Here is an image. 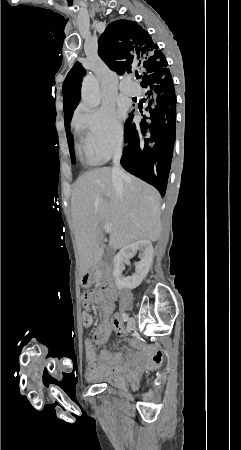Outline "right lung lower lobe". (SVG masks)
<instances>
[{"mask_svg": "<svg viewBox=\"0 0 241 450\" xmlns=\"http://www.w3.org/2000/svg\"><path fill=\"white\" fill-rule=\"evenodd\" d=\"M141 77V86L147 89L145 95L148 105L145 110L150 116L148 121L142 120L136 126L132 123L133 115L129 114L124 125V142L127 145L123 150L121 165L164 196L176 139L175 89L168 62L146 68ZM72 115L73 112L64 116L67 134H70Z\"/></svg>", "mask_w": 241, "mask_h": 450, "instance_id": "1", "label": "right lung lower lobe"}]
</instances>
